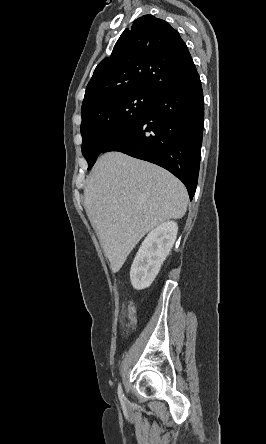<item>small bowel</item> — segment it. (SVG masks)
Masks as SVG:
<instances>
[{"label":"small bowel","mask_w":266,"mask_h":444,"mask_svg":"<svg viewBox=\"0 0 266 444\" xmlns=\"http://www.w3.org/2000/svg\"><path fill=\"white\" fill-rule=\"evenodd\" d=\"M127 312H128L129 322L124 327V331L125 332H128L130 329H132L134 327V325H135V322H136V319H135V309H134L132 303L128 304Z\"/></svg>","instance_id":"c3829d8e"}]
</instances>
